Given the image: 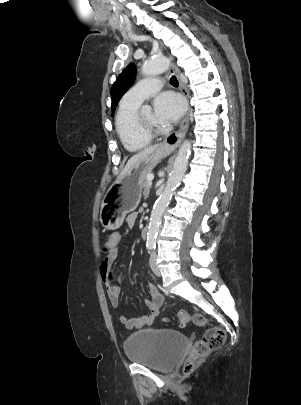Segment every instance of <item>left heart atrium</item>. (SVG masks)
<instances>
[{
    "mask_svg": "<svg viewBox=\"0 0 301 405\" xmlns=\"http://www.w3.org/2000/svg\"><path fill=\"white\" fill-rule=\"evenodd\" d=\"M153 106L155 117L163 126L176 122L185 110L183 99L170 91L159 94L155 98Z\"/></svg>",
    "mask_w": 301,
    "mask_h": 405,
    "instance_id": "obj_1",
    "label": "left heart atrium"
}]
</instances>
